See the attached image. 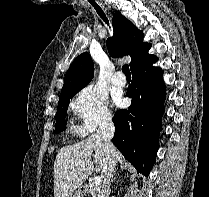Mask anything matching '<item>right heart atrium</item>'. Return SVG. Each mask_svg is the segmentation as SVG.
<instances>
[{"label":"right heart atrium","mask_w":209,"mask_h":197,"mask_svg":"<svg viewBox=\"0 0 209 197\" xmlns=\"http://www.w3.org/2000/svg\"><path fill=\"white\" fill-rule=\"evenodd\" d=\"M70 109L78 119L77 131L82 136L109 124L112 119L106 95L92 86H87L76 94Z\"/></svg>","instance_id":"1"}]
</instances>
